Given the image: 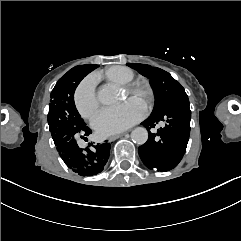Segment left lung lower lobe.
Returning a JSON list of instances; mask_svg holds the SVG:
<instances>
[{"label":"left lung lower lobe","mask_w":241,"mask_h":241,"mask_svg":"<svg viewBox=\"0 0 241 241\" xmlns=\"http://www.w3.org/2000/svg\"><path fill=\"white\" fill-rule=\"evenodd\" d=\"M190 119L189 100L185 96L175 99L141 123L149 132L160 121L166 122L165 127L160 128L156 134L149 132L147 142L138 148L146 167L166 172L178 165L189 140Z\"/></svg>","instance_id":"1"}]
</instances>
